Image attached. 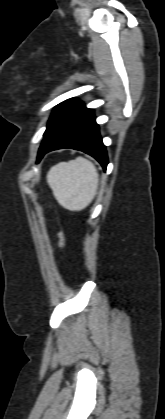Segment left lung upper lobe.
Returning a JSON list of instances; mask_svg holds the SVG:
<instances>
[{"label": "left lung upper lobe", "instance_id": "1", "mask_svg": "<svg viewBox=\"0 0 165 419\" xmlns=\"http://www.w3.org/2000/svg\"><path fill=\"white\" fill-rule=\"evenodd\" d=\"M80 104V101H78L75 98H71L57 105L54 108L53 113L48 121L47 129L44 133V136L65 114H67L69 111H71L73 108Z\"/></svg>", "mask_w": 165, "mask_h": 419}]
</instances>
